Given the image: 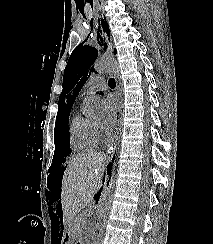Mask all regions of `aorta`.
Wrapping results in <instances>:
<instances>
[{"instance_id":"obj_1","label":"aorta","mask_w":213,"mask_h":244,"mask_svg":"<svg viewBox=\"0 0 213 244\" xmlns=\"http://www.w3.org/2000/svg\"><path fill=\"white\" fill-rule=\"evenodd\" d=\"M94 69L97 73H113L119 74V64L112 57H102L99 58L95 64ZM104 103L103 100L96 94H90L85 99L84 114L88 117H99L103 114ZM115 187V173L112 174V178L107 187L101 194L99 202L96 206V218H97V234L96 241L99 242V239L103 235L105 229V222L107 215L111 208L112 203V194Z\"/></svg>"}]
</instances>
